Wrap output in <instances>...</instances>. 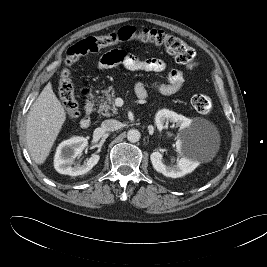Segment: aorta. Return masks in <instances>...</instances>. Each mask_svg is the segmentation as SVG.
I'll return each mask as SVG.
<instances>
[{"mask_svg":"<svg viewBox=\"0 0 267 267\" xmlns=\"http://www.w3.org/2000/svg\"><path fill=\"white\" fill-rule=\"evenodd\" d=\"M141 137L140 132L137 129H131L127 133V139L131 143H136Z\"/></svg>","mask_w":267,"mask_h":267,"instance_id":"aorta-1","label":"aorta"}]
</instances>
